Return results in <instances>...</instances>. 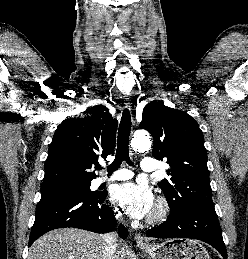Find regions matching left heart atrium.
Wrapping results in <instances>:
<instances>
[{
  "mask_svg": "<svg viewBox=\"0 0 248 259\" xmlns=\"http://www.w3.org/2000/svg\"><path fill=\"white\" fill-rule=\"evenodd\" d=\"M111 199L135 218L149 215L154 206L152 192L146 186L135 183L115 186L111 192Z\"/></svg>",
  "mask_w": 248,
  "mask_h": 259,
  "instance_id": "left-heart-atrium-1",
  "label": "left heart atrium"
}]
</instances>
